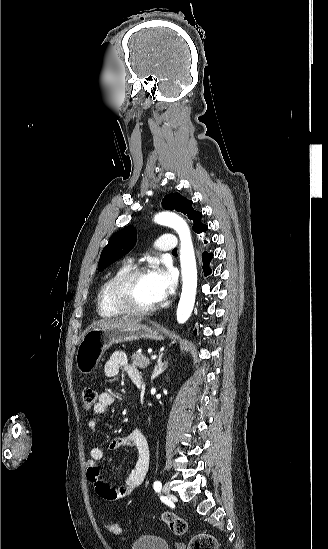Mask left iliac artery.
<instances>
[{
	"mask_svg": "<svg viewBox=\"0 0 328 549\" xmlns=\"http://www.w3.org/2000/svg\"><path fill=\"white\" fill-rule=\"evenodd\" d=\"M153 487H154V490H155L156 492H159V491L161 490L162 484H161L160 481H156V482H154Z\"/></svg>",
	"mask_w": 328,
	"mask_h": 549,
	"instance_id": "1",
	"label": "left iliac artery"
}]
</instances>
